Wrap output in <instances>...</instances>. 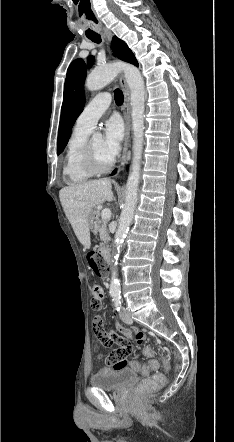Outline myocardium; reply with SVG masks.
<instances>
[{"label":"myocardium","mask_w":234,"mask_h":442,"mask_svg":"<svg viewBox=\"0 0 234 442\" xmlns=\"http://www.w3.org/2000/svg\"><path fill=\"white\" fill-rule=\"evenodd\" d=\"M83 164L85 168L94 175L103 174L108 172L112 168L114 164V159H111L105 165H101L96 158L95 152L92 147V141H87L83 152Z\"/></svg>","instance_id":"1"}]
</instances>
